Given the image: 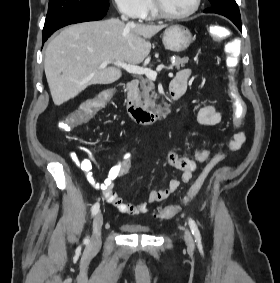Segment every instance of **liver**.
Listing matches in <instances>:
<instances>
[{
    "mask_svg": "<svg viewBox=\"0 0 280 283\" xmlns=\"http://www.w3.org/2000/svg\"><path fill=\"white\" fill-rule=\"evenodd\" d=\"M165 25L125 24L119 19L74 24L47 46L44 69L55 105L76 97L93 84H111L122 72L101 67L104 61L139 64L149 55V39Z\"/></svg>",
    "mask_w": 280,
    "mask_h": 283,
    "instance_id": "6515ba94",
    "label": "liver"
}]
</instances>
